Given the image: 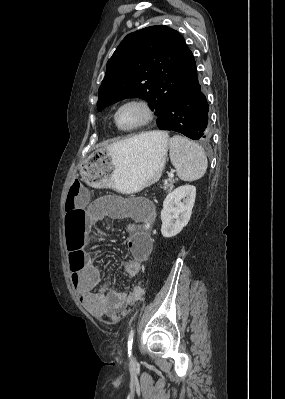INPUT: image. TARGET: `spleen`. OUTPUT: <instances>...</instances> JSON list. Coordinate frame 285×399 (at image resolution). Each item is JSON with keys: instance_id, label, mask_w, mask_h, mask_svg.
I'll list each match as a JSON object with an SVG mask.
<instances>
[{"instance_id": "spleen-1", "label": "spleen", "mask_w": 285, "mask_h": 399, "mask_svg": "<svg viewBox=\"0 0 285 399\" xmlns=\"http://www.w3.org/2000/svg\"><path fill=\"white\" fill-rule=\"evenodd\" d=\"M170 159L178 177L183 181H195L204 176L207 158L204 150L195 142L181 135H174L169 142Z\"/></svg>"}]
</instances>
